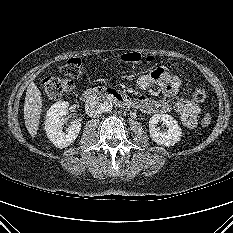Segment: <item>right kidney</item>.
<instances>
[{
	"mask_svg": "<svg viewBox=\"0 0 233 233\" xmlns=\"http://www.w3.org/2000/svg\"><path fill=\"white\" fill-rule=\"evenodd\" d=\"M69 103L59 101L53 104L46 113L45 130L50 141L58 148H65L72 144L81 130V123L78 120L71 122L67 134L61 132L64 123L63 116L69 113Z\"/></svg>",
	"mask_w": 233,
	"mask_h": 233,
	"instance_id": "ca27d5eb",
	"label": "right kidney"
}]
</instances>
